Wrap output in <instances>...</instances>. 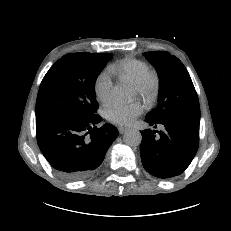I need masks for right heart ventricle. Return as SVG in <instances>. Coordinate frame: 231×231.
<instances>
[{"label": "right heart ventricle", "instance_id": "right-heart-ventricle-1", "mask_svg": "<svg viewBox=\"0 0 231 231\" xmlns=\"http://www.w3.org/2000/svg\"><path fill=\"white\" fill-rule=\"evenodd\" d=\"M149 68L147 62L128 57L111 65L109 71L120 80L134 85Z\"/></svg>", "mask_w": 231, "mask_h": 231}]
</instances>
